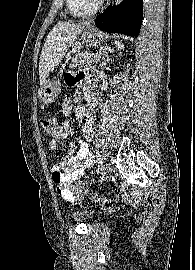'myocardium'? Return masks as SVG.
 Segmentation results:
<instances>
[{"label":"myocardium","mask_w":195,"mask_h":270,"mask_svg":"<svg viewBox=\"0 0 195 270\" xmlns=\"http://www.w3.org/2000/svg\"><path fill=\"white\" fill-rule=\"evenodd\" d=\"M88 1L94 5L95 10H97L103 2V0H88Z\"/></svg>","instance_id":"f54148a6"}]
</instances>
